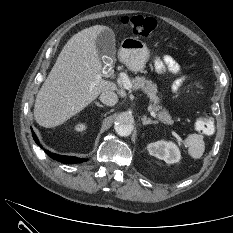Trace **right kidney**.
Wrapping results in <instances>:
<instances>
[{"label":"right kidney","mask_w":233,"mask_h":233,"mask_svg":"<svg viewBox=\"0 0 233 233\" xmlns=\"http://www.w3.org/2000/svg\"><path fill=\"white\" fill-rule=\"evenodd\" d=\"M86 129V125L84 123H78L76 126H75V130L76 131H79V132H82Z\"/></svg>","instance_id":"obj_1"}]
</instances>
